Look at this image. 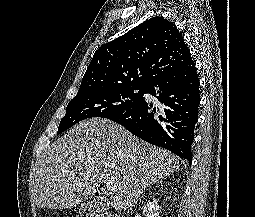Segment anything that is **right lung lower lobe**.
I'll return each instance as SVG.
<instances>
[{
    "instance_id": "right-lung-lower-lobe-1",
    "label": "right lung lower lobe",
    "mask_w": 255,
    "mask_h": 217,
    "mask_svg": "<svg viewBox=\"0 0 255 217\" xmlns=\"http://www.w3.org/2000/svg\"><path fill=\"white\" fill-rule=\"evenodd\" d=\"M199 79L193 59L151 82L145 93L156 97L153 108L142 99L136 106L108 119L135 136L192 162L191 144L200 104Z\"/></svg>"
}]
</instances>
